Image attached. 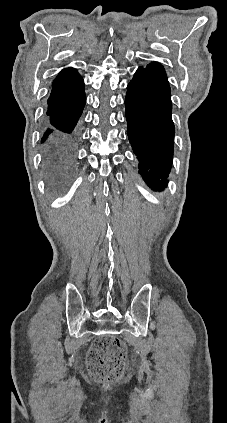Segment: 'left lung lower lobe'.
Listing matches in <instances>:
<instances>
[{
    "label": "left lung lower lobe",
    "instance_id": "0a47b994",
    "mask_svg": "<svg viewBox=\"0 0 227 423\" xmlns=\"http://www.w3.org/2000/svg\"><path fill=\"white\" fill-rule=\"evenodd\" d=\"M127 134L140 174L154 190L168 184L174 148L169 85L150 71H137L125 98Z\"/></svg>",
    "mask_w": 227,
    "mask_h": 423
}]
</instances>
